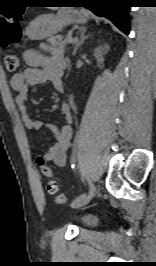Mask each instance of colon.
<instances>
[{"label": "colon", "instance_id": "obj_1", "mask_svg": "<svg viewBox=\"0 0 156 266\" xmlns=\"http://www.w3.org/2000/svg\"><path fill=\"white\" fill-rule=\"evenodd\" d=\"M22 16V11L19 9L13 10L0 20V43L3 46H8L19 42L21 38V27L19 21ZM6 69L10 72H15L20 67V58L13 53H8L4 57ZM37 163L41 168L43 175L48 179L47 190L55 196L57 204L67 202V196L60 191L59 184L53 176L52 170L45 164V161L39 157Z\"/></svg>", "mask_w": 156, "mask_h": 266}]
</instances>
